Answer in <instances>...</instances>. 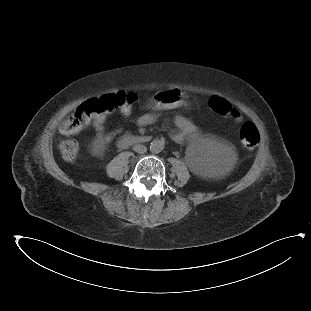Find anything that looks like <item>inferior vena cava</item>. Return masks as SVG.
I'll return each mask as SVG.
<instances>
[{
	"mask_svg": "<svg viewBox=\"0 0 311 311\" xmlns=\"http://www.w3.org/2000/svg\"><path fill=\"white\" fill-rule=\"evenodd\" d=\"M133 151L139 153V154H144L147 152V147L142 145V144H137L133 146Z\"/></svg>",
	"mask_w": 311,
	"mask_h": 311,
	"instance_id": "obj_1",
	"label": "inferior vena cava"
}]
</instances>
